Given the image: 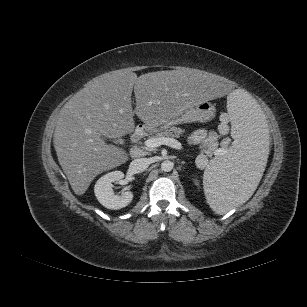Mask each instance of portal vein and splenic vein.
Segmentation results:
<instances>
[{
	"label": "portal vein and splenic vein",
	"instance_id": "1",
	"mask_svg": "<svg viewBox=\"0 0 307 307\" xmlns=\"http://www.w3.org/2000/svg\"><path fill=\"white\" fill-rule=\"evenodd\" d=\"M144 144H145V146H147L149 148H156V147H159L161 145H166V146L172 147L174 149H178V150H180L182 148V145L178 140H176L174 138H170V137L150 138V139H147L144 142ZM224 152H225L224 150L219 149V150L216 151L215 155L219 156V155H222Z\"/></svg>",
	"mask_w": 307,
	"mask_h": 307
}]
</instances>
